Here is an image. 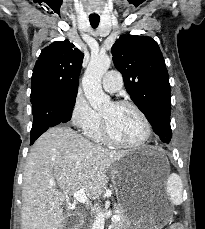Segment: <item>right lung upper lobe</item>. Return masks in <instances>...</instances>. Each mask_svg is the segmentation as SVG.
<instances>
[{"label":"right lung upper lobe","mask_w":205,"mask_h":229,"mask_svg":"<svg viewBox=\"0 0 205 229\" xmlns=\"http://www.w3.org/2000/svg\"><path fill=\"white\" fill-rule=\"evenodd\" d=\"M68 40L44 48L36 61L31 84V101L54 93L78 90L84 54Z\"/></svg>","instance_id":"1"}]
</instances>
